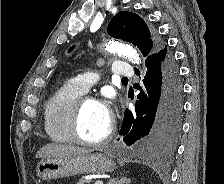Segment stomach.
<instances>
[{"instance_id": "1", "label": "stomach", "mask_w": 224, "mask_h": 184, "mask_svg": "<svg viewBox=\"0 0 224 184\" xmlns=\"http://www.w3.org/2000/svg\"><path fill=\"white\" fill-rule=\"evenodd\" d=\"M114 169L115 163L103 153H81L42 159L37 165L36 173L42 180H51L74 174H103Z\"/></svg>"}]
</instances>
